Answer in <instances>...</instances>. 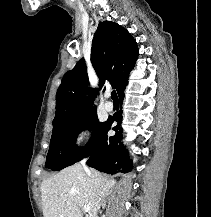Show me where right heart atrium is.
Wrapping results in <instances>:
<instances>
[{"label":"right heart atrium","mask_w":211,"mask_h":217,"mask_svg":"<svg viewBox=\"0 0 211 217\" xmlns=\"http://www.w3.org/2000/svg\"><path fill=\"white\" fill-rule=\"evenodd\" d=\"M89 138V130L88 128L84 127L81 128L74 136V144H79L83 141H87Z\"/></svg>","instance_id":"1"}]
</instances>
